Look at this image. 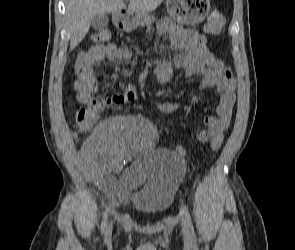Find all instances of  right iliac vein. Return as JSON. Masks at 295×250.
Returning a JSON list of instances; mask_svg holds the SVG:
<instances>
[{
  "label": "right iliac vein",
  "mask_w": 295,
  "mask_h": 250,
  "mask_svg": "<svg viewBox=\"0 0 295 250\" xmlns=\"http://www.w3.org/2000/svg\"><path fill=\"white\" fill-rule=\"evenodd\" d=\"M111 233H112V223H109L107 228H106L105 236L108 238V237L111 236Z\"/></svg>",
  "instance_id": "obj_1"
}]
</instances>
